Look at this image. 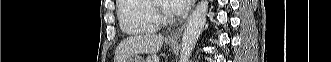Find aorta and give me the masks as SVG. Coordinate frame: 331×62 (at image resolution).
<instances>
[{
    "instance_id": "762f6f07",
    "label": "aorta",
    "mask_w": 331,
    "mask_h": 62,
    "mask_svg": "<svg viewBox=\"0 0 331 62\" xmlns=\"http://www.w3.org/2000/svg\"><path fill=\"white\" fill-rule=\"evenodd\" d=\"M208 1L201 0L190 16L182 36L180 62H188L206 23Z\"/></svg>"
}]
</instances>
